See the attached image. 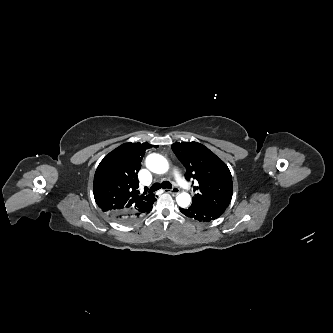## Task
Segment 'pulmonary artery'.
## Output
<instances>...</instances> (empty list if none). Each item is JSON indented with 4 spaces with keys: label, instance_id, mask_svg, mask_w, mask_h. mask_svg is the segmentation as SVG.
Here are the masks:
<instances>
[{
    "label": "pulmonary artery",
    "instance_id": "pulmonary-artery-1",
    "mask_svg": "<svg viewBox=\"0 0 333 333\" xmlns=\"http://www.w3.org/2000/svg\"><path fill=\"white\" fill-rule=\"evenodd\" d=\"M174 177L177 183L184 189H189V185L185 182V180L181 177V174L178 170L173 171Z\"/></svg>",
    "mask_w": 333,
    "mask_h": 333
}]
</instances>
